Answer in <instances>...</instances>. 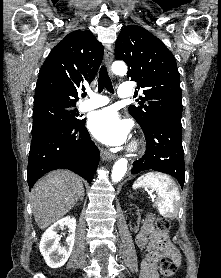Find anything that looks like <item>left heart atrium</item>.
<instances>
[{
  "instance_id": "obj_1",
  "label": "left heart atrium",
  "mask_w": 221,
  "mask_h": 278,
  "mask_svg": "<svg viewBox=\"0 0 221 278\" xmlns=\"http://www.w3.org/2000/svg\"><path fill=\"white\" fill-rule=\"evenodd\" d=\"M88 128L95 138L108 145L124 143L129 133L128 124L112 108L94 112L89 118Z\"/></svg>"
}]
</instances>
